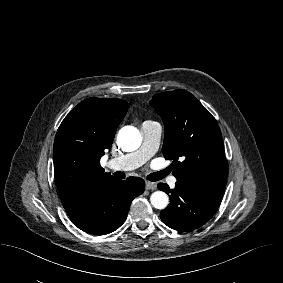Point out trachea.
I'll return each mask as SVG.
<instances>
[{
    "label": "trachea",
    "mask_w": 283,
    "mask_h": 283,
    "mask_svg": "<svg viewBox=\"0 0 283 283\" xmlns=\"http://www.w3.org/2000/svg\"><path fill=\"white\" fill-rule=\"evenodd\" d=\"M165 176H166V174L164 172L160 171V172H155V173L148 175L147 178H148V180L154 182V181H158V180L163 179Z\"/></svg>",
    "instance_id": "1"
}]
</instances>
